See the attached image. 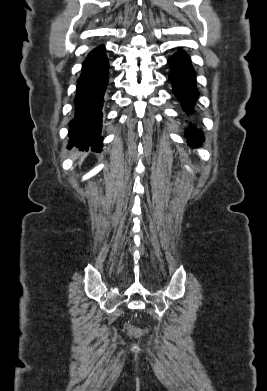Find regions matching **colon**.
I'll return each instance as SVG.
<instances>
[{
  "label": "colon",
  "mask_w": 267,
  "mask_h": 391,
  "mask_svg": "<svg viewBox=\"0 0 267 391\" xmlns=\"http://www.w3.org/2000/svg\"><path fill=\"white\" fill-rule=\"evenodd\" d=\"M129 331L133 335H139L141 333V331L139 329L133 328V327L129 328Z\"/></svg>",
  "instance_id": "5ec220e1"
}]
</instances>
